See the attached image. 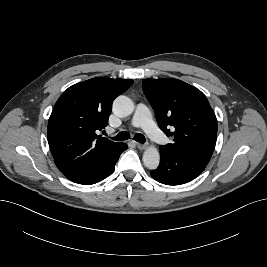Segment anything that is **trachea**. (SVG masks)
<instances>
[{"label": "trachea", "mask_w": 267, "mask_h": 267, "mask_svg": "<svg viewBox=\"0 0 267 267\" xmlns=\"http://www.w3.org/2000/svg\"><path fill=\"white\" fill-rule=\"evenodd\" d=\"M129 137H130V135L128 132L122 131L117 136H115L114 139L116 141H124V140L129 139ZM134 140L139 142V143H142V144L146 142L145 137L141 133H136L134 135Z\"/></svg>", "instance_id": "trachea-1"}]
</instances>
